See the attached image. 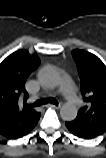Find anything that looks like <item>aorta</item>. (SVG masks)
Instances as JSON below:
<instances>
[{"mask_svg": "<svg viewBox=\"0 0 106 158\" xmlns=\"http://www.w3.org/2000/svg\"><path fill=\"white\" fill-rule=\"evenodd\" d=\"M42 82L49 86H57L60 83V75L54 69H47L42 74ZM77 107L72 103L64 104L60 109V116L65 121H72L77 116Z\"/></svg>", "mask_w": 106, "mask_h": 158, "instance_id": "1", "label": "aorta"}]
</instances>
